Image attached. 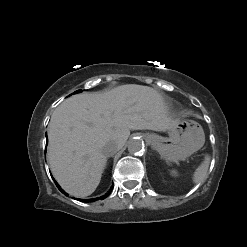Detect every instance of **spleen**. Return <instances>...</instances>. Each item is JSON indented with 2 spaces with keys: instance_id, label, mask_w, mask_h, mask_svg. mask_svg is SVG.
I'll list each match as a JSON object with an SVG mask.
<instances>
[{
  "instance_id": "obj_1",
  "label": "spleen",
  "mask_w": 247,
  "mask_h": 247,
  "mask_svg": "<svg viewBox=\"0 0 247 247\" xmlns=\"http://www.w3.org/2000/svg\"><path fill=\"white\" fill-rule=\"evenodd\" d=\"M209 163H210V156L206 155L204 158V161L199 165V167L195 170V172L193 174V182L195 184H199L205 180L206 175H207V171H208V167H209ZM171 174L173 176H177V171L172 170Z\"/></svg>"
}]
</instances>
